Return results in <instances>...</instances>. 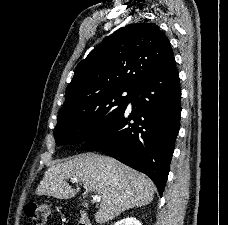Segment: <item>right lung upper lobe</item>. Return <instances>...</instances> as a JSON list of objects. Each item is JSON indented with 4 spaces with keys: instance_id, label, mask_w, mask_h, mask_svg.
<instances>
[{
    "instance_id": "cb5924a9",
    "label": "right lung upper lobe",
    "mask_w": 228,
    "mask_h": 225,
    "mask_svg": "<svg viewBox=\"0 0 228 225\" xmlns=\"http://www.w3.org/2000/svg\"><path fill=\"white\" fill-rule=\"evenodd\" d=\"M172 58L170 42L156 24L119 28L77 65L63 105L111 86L135 89Z\"/></svg>"
}]
</instances>
